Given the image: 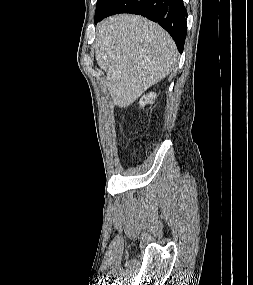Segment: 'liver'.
Here are the masks:
<instances>
[{"label":"liver","mask_w":253,"mask_h":285,"mask_svg":"<svg viewBox=\"0 0 253 285\" xmlns=\"http://www.w3.org/2000/svg\"><path fill=\"white\" fill-rule=\"evenodd\" d=\"M96 61L106 72L113 103L132 104L146 89L172 72L176 45L170 35L146 18L120 14L97 27Z\"/></svg>","instance_id":"1"}]
</instances>
